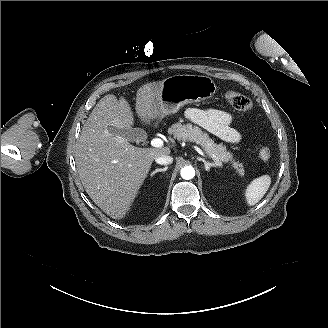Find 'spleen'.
<instances>
[{"instance_id": "1", "label": "spleen", "mask_w": 328, "mask_h": 328, "mask_svg": "<svg viewBox=\"0 0 328 328\" xmlns=\"http://www.w3.org/2000/svg\"><path fill=\"white\" fill-rule=\"evenodd\" d=\"M271 184L269 175H261L253 179L244 189L243 195L248 207L255 206L266 194Z\"/></svg>"}]
</instances>
